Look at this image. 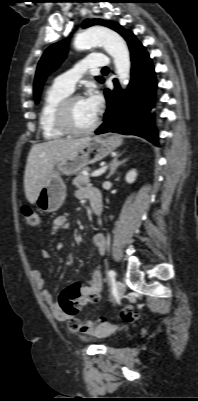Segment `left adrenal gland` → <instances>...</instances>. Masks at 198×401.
Here are the masks:
<instances>
[{
  "instance_id": "a2214340",
  "label": "left adrenal gland",
  "mask_w": 198,
  "mask_h": 401,
  "mask_svg": "<svg viewBox=\"0 0 198 401\" xmlns=\"http://www.w3.org/2000/svg\"><path fill=\"white\" fill-rule=\"evenodd\" d=\"M120 156H121V154H118V155L111 161V163H110V172H109L108 176L106 177L107 179L110 178V177L116 172V170H117V168H118L119 166H121L122 164H124V163L128 160V158H127V159H124V160H122V161H119L118 158H119Z\"/></svg>"
}]
</instances>
